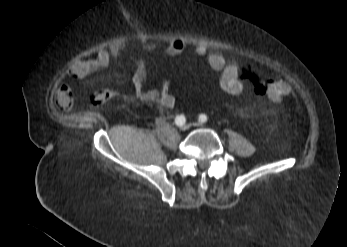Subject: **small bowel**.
<instances>
[{
    "label": "small bowel",
    "instance_id": "1",
    "mask_svg": "<svg viewBox=\"0 0 347 247\" xmlns=\"http://www.w3.org/2000/svg\"><path fill=\"white\" fill-rule=\"evenodd\" d=\"M187 47L186 42L176 38L170 40L165 52L169 55L182 53ZM124 44H117L110 48L103 47L96 51L93 58L81 59L70 67V75L76 79H84L100 69L106 68L113 58L119 57L124 50ZM157 49L154 43H145L141 46L144 52H153ZM194 51L199 56H205L209 67L218 74L219 86L223 92L229 95H240L244 92L247 84L252 82L248 72L242 71V67L234 60H227L224 55L216 49H211L204 44H198ZM134 71L132 83L138 100L145 103H155L163 109H173L177 100L171 94V84L163 81L158 88L146 89L144 83L147 77V67L143 58L137 57L133 60ZM257 91H262L257 87ZM55 104L62 112H69L74 106L73 91L68 86H63L55 96ZM162 119V116L159 117Z\"/></svg>",
    "mask_w": 347,
    "mask_h": 247
}]
</instances>
